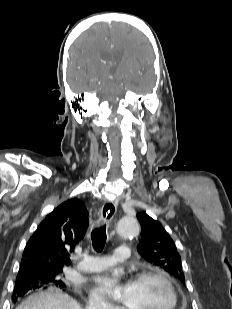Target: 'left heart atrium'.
<instances>
[{
    "label": "left heart atrium",
    "instance_id": "left-heart-atrium-1",
    "mask_svg": "<svg viewBox=\"0 0 232 309\" xmlns=\"http://www.w3.org/2000/svg\"><path fill=\"white\" fill-rule=\"evenodd\" d=\"M93 281L96 290L103 295H110L117 287L122 286L123 302L126 304L127 299L125 294L129 289L130 283H123L122 276L120 274H102L96 276Z\"/></svg>",
    "mask_w": 232,
    "mask_h": 309
}]
</instances>
